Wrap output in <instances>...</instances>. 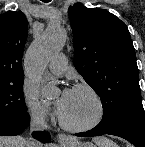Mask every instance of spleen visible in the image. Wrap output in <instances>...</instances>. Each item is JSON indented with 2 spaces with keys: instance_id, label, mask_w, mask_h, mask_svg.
<instances>
[{
  "instance_id": "1",
  "label": "spleen",
  "mask_w": 145,
  "mask_h": 147,
  "mask_svg": "<svg viewBox=\"0 0 145 147\" xmlns=\"http://www.w3.org/2000/svg\"><path fill=\"white\" fill-rule=\"evenodd\" d=\"M100 147H117L115 143L108 139H104L101 144L99 145Z\"/></svg>"
}]
</instances>
